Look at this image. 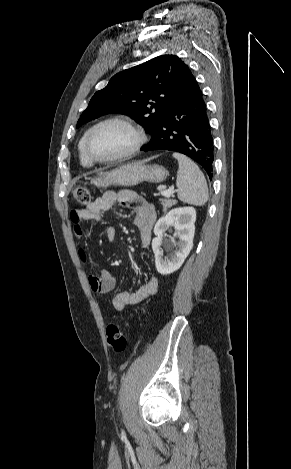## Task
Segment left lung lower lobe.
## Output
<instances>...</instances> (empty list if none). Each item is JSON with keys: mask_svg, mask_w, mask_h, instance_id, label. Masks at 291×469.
Segmentation results:
<instances>
[{"mask_svg": "<svg viewBox=\"0 0 291 469\" xmlns=\"http://www.w3.org/2000/svg\"><path fill=\"white\" fill-rule=\"evenodd\" d=\"M141 150H170L185 154L212 178L213 137L203 95L193 75L167 108L150 143Z\"/></svg>", "mask_w": 291, "mask_h": 469, "instance_id": "1", "label": "left lung lower lobe"}]
</instances>
